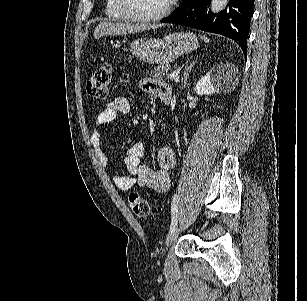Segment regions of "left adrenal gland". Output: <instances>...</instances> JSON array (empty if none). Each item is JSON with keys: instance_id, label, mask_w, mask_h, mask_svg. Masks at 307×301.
Listing matches in <instances>:
<instances>
[{"instance_id": "left-adrenal-gland-1", "label": "left adrenal gland", "mask_w": 307, "mask_h": 301, "mask_svg": "<svg viewBox=\"0 0 307 301\" xmlns=\"http://www.w3.org/2000/svg\"><path fill=\"white\" fill-rule=\"evenodd\" d=\"M196 60H193V62H190L189 66H185V70H184V76L182 78V86L181 88H186V84H187V78L195 64Z\"/></svg>"}]
</instances>
